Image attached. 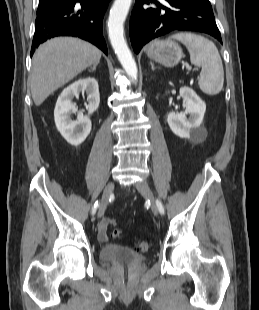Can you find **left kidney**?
I'll return each instance as SVG.
<instances>
[{
	"instance_id": "5707ae66",
	"label": "left kidney",
	"mask_w": 259,
	"mask_h": 310,
	"mask_svg": "<svg viewBox=\"0 0 259 310\" xmlns=\"http://www.w3.org/2000/svg\"><path fill=\"white\" fill-rule=\"evenodd\" d=\"M180 95L183 97L185 112L177 115L170 112L167 121L172 132L180 138L192 139L198 136V128L202 124L206 111V104L190 87H181ZM189 114V118H187Z\"/></svg>"
}]
</instances>
